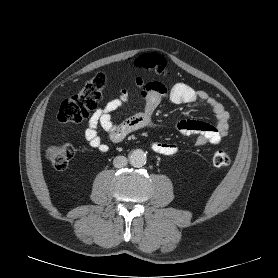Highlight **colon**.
<instances>
[{"label": "colon", "mask_w": 278, "mask_h": 278, "mask_svg": "<svg viewBox=\"0 0 278 278\" xmlns=\"http://www.w3.org/2000/svg\"><path fill=\"white\" fill-rule=\"evenodd\" d=\"M136 64L158 75L167 73L166 59L158 53H145L136 60ZM106 84L104 73H97L78 94L64 100L58 110L57 117L63 123H79L89 117L95 110ZM74 147L70 143L51 145L46 150V157L56 169H65L74 156ZM213 164L217 167L230 165V156L222 149L213 153Z\"/></svg>", "instance_id": "5ec220e1"}]
</instances>
